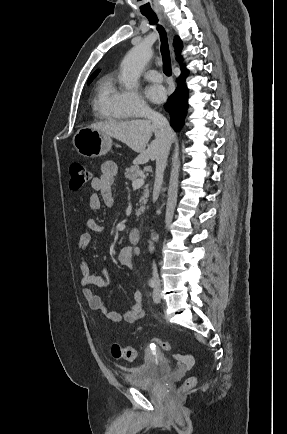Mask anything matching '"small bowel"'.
Here are the masks:
<instances>
[{"label": "small bowel", "mask_w": 287, "mask_h": 434, "mask_svg": "<svg viewBox=\"0 0 287 434\" xmlns=\"http://www.w3.org/2000/svg\"><path fill=\"white\" fill-rule=\"evenodd\" d=\"M117 174V165L114 161H105L101 165V173L91 179V187L95 191L88 198L90 209L99 210L103 204L112 206L113 196L111 192ZM105 230L104 226L98 223L94 218H88L84 224V231L80 234L77 247L81 252H85L92 238V233L101 234ZM117 262L120 266L130 269L133 266V249L132 247L122 248L117 255ZM81 291L86 299L90 309L103 313L108 320L112 322L132 323L141 319L144 315L142 307V293L136 291L133 293V304L129 310L123 313L110 311L100 296L92 287H104L108 284V269L104 266L99 274H92L85 257L79 264ZM193 359L185 361V367L190 369L193 366Z\"/></svg>", "instance_id": "1"}]
</instances>
